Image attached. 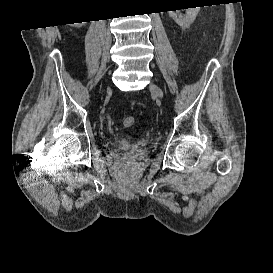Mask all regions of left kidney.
Instances as JSON below:
<instances>
[{"instance_id":"1","label":"left kidney","mask_w":273,"mask_h":273,"mask_svg":"<svg viewBox=\"0 0 273 273\" xmlns=\"http://www.w3.org/2000/svg\"><path fill=\"white\" fill-rule=\"evenodd\" d=\"M199 7L186 9L185 15L179 13V10L168 11L169 16L182 28L189 27L195 20Z\"/></svg>"}]
</instances>
